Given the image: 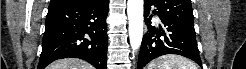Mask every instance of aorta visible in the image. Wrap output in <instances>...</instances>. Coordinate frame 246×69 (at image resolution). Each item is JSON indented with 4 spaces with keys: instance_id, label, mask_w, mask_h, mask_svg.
Masks as SVG:
<instances>
[{
    "instance_id": "obj_1",
    "label": "aorta",
    "mask_w": 246,
    "mask_h": 69,
    "mask_svg": "<svg viewBox=\"0 0 246 69\" xmlns=\"http://www.w3.org/2000/svg\"><path fill=\"white\" fill-rule=\"evenodd\" d=\"M143 0H128L129 39L133 51H137L143 38Z\"/></svg>"
}]
</instances>
